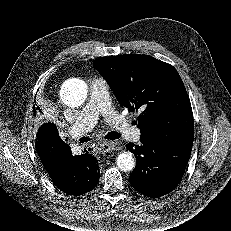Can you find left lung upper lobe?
<instances>
[{
  "mask_svg": "<svg viewBox=\"0 0 231 231\" xmlns=\"http://www.w3.org/2000/svg\"><path fill=\"white\" fill-rule=\"evenodd\" d=\"M93 67L109 82L124 107L140 112L136 122L140 139L192 149L191 103L172 65L149 55L124 54L95 59Z\"/></svg>",
  "mask_w": 231,
  "mask_h": 231,
  "instance_id": "1",
  "label": "left lung upper lobe"
}]
</instances>
